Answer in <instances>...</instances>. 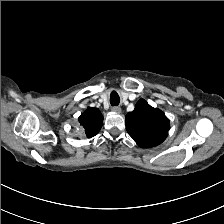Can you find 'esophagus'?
Returning a JSON list of instances; mask_svg holds the SVG:
<instances>
[{
	"label": "esophagus",
	"instance_id": "obj_1",
	"mask_svg": "<svg viewBox=\"0 0 224 224\" xmlns=\"http://www.w3.org/2000/svg\"><path fill=\"white\" fill-rule=\"evenodd\" d=\"M111 110L115 113H121V108L119 106H114Z\"/></svg>",
	"mask_w": 224,
	"mask_h": 224
}]
</instances>
